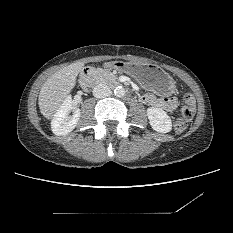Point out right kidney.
I'll use <instances>...</instances> for the list:
<instances>
[{
    "instance_id": "right-kidney-1",
    "label": "right kidney",
    "mask_w": 233,
    "mask_h": 233,
    "mask_svg": "<svg viewBox=\"0 0 233 233\" xmlns=\"http://www.w3.org/2000/svg\"><path fill=\"white\" fill-rule=\"evenodd\" d=\"M80 113V109L72 102L71 97L68 96L52 119V132L57 136L70 133L76 127Z\"/></svg>"
}]
</instances>
